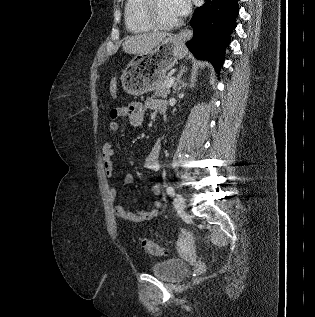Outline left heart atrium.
I'll list each match as a JSON object with an SVG mask.
<instances>
[{"instance_id": "obj_1", "label": "left heart atrium", "mask_w": 315, "mask_h": 317, "mask_svg": "<svg viewBox=\"0 0 315 317\" xmlns=\"http://www.w3.org/2000/svg\"><path fill=\"white\" fill-rule=\"evenodd\" d=\"M175 13L180 17L187 13L189 9L188 0H170Z\"/></svg>"}]
</instances>
